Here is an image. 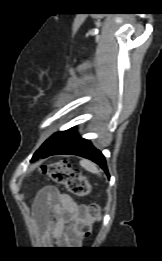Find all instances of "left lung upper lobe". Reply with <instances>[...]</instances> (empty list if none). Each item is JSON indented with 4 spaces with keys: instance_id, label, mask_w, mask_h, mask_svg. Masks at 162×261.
Listing matches in <instances>:
<instances>
[{
    "instance_id": "5c2ea615",
    "label": "left lung upper lobe",
    "mask_w": 162,
    "mask_h": 261,
    "mask_svg": "<svg viewBox=\"0 0 162 261\" xmlns=\"http://www.w3.org/2000/svg\"><path fill=\"white\" fill-rule=\"evenodd\" d=\"M75 128H71L66 131H60L54 133L49 139H47L44 144L35 152L31 161H35L41 158L45 153H47L53 146H55L59 141L72 133Z\"/></svg>"
}]
</instances>
